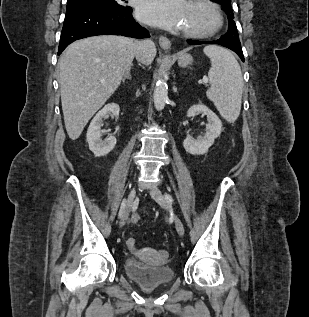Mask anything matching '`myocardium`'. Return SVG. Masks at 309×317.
I'll use <instances>...</instances> for the list:
<instances>
[{
	"label": "myocardium",
	"mask_w": 309,
	"mask_h": 317,
	"mask_svg": "<svg viewBox=\"0 0 309 317\" xmlns=\"http://www.w3.org/2000/svg\"><path fill=\"white\" fill-rule=\"evenodd\" d=\"M190 3L205 7L210 11L213 17V23L210 27L201 30L186 29L183 30L185 37L194 39L209 38L220 31L223 26V16L216 3L211 0H192Z\"/></svg>",
	"instance_id": "obj_1"
}]
</instances>
